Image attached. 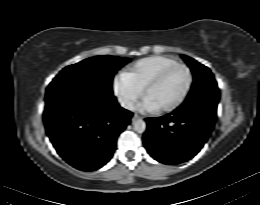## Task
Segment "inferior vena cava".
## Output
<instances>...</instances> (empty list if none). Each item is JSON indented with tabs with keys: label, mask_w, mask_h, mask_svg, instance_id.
Wrapping results in <instances>:
<instances>
[{
	"label": "inferior vena cava",
	"mask_w": 260,
	"mask_h": 205,
	"mask_svg": "<svg viewBox=\"0 0 260 205\" xmlns=\"http://www.w3.org/2000/svg\"><path fill=\"white\" fill-rule=\"evenodd\" d=\"M119 103L125 109H128V110H133L134 109L133 102H131L128 99L120 98L119 99Z\"/></svg>",
	"instance_id": "inferior-vena-cava-1"
}]
</instances>
